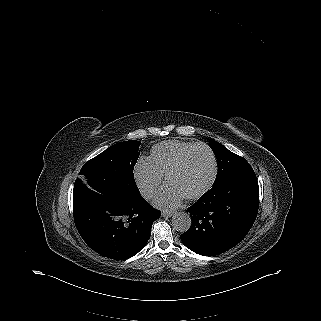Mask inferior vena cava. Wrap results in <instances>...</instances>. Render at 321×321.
<instances>
[{
	"instance_id": "1",
	"label": "inferior vena cava",
	"mask_w": 321,
	"mask_h": 321,
	"mask_svg": "<svg viewBox=\"0 0 321 321\" xmlns=\"http://www.w3.org/2000/svg\"><path fill=\"white\" fill-rule=\"evenodd\" d=\"M141 195L146 200H149V199H151L153 197L154 191H153V189L145 188V189L141 190Z\"/></svg>"
}]
</instances>
